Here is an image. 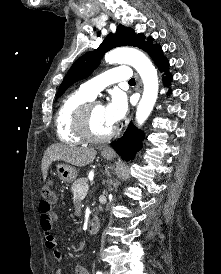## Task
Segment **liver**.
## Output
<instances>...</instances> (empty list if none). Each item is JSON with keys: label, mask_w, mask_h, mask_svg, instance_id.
Wrapping results in <instances>:
<instances>
[{"label": "liver", "mask_w": 221, "mask_h": 274, "mask_svg": "<svg viewBox=\"0 0 221 274\" xmlns=\"http://www.w3.org/2000/svg\"><path fill=\"white\" fill-rule=\"evenodd\" d=\"M96 150L92 148H80L53 144L44 153L41 171L44 181L46 180L48 168L53 161H64L74 166L84 167L90 164L96 157Z\"/></svg>", "instance_id": "liver-1"}]
</instances>
